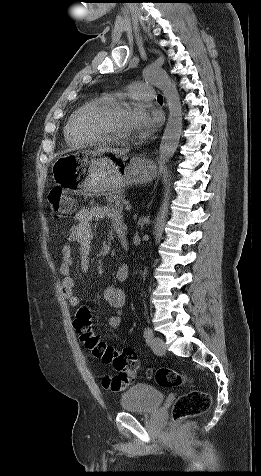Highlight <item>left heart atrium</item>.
<instances>
[{
    "label": "left heart atrium",
    "mask_w": 261,
    "mask_h": 476,
    "mask_svg": "<svg viewBox=\"0 0 261 476\" xmlns=\"http://www.w3.org/2000/svg\"><path fill=\"white\" fill-rule=\"evenodd\" d=\"M129 123L132 133L139 137L149 136L160 123V117L156 113H150L142 105H136L129 111Z\"/></svg>",
    "instance_id": "obj_1"
}]
</instances>
